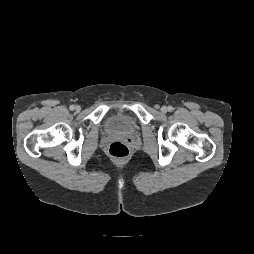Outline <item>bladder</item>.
<instances>
[{"mask_svg": "<svg viewBox=\"0 0 254 254\" xmlns=\"http://www.w3.org/2000/svg\"><path fill=\"white\" fill-rule=\"evenodd\" d=\"M106 131L110 134L127 137L135 136L139 131L137 120L126 114H113L105 122Z\"/></svg>", "mask_w": 254, "mask_h": 254, "instance_id": "obj_1", "label": "bladder"}]
</instances>
